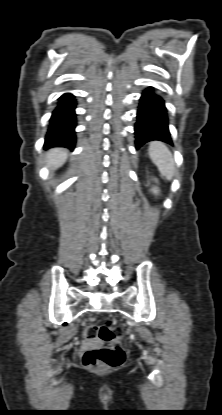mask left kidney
<instances>
[{
  "label": "left kidney",
  "instance_id": "obj_1",
  "mask_svg": "<svg viewBox=\"0 0 222 415\" xmlns=\"http://www.w3.org/2000/svg\"><path fill=\"white\" fill-rule=\"evenodd\" d=\"M152 192H153L154 194H158L159 190L155 187V188H153V189H152Z\"/></svg>",
  "mask_w": 222,
  "mask_h": 415
}]
</instances>
